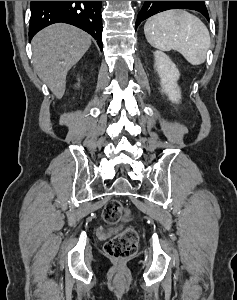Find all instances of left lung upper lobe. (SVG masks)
Listing matches in <instances>:
<instances>
[{
	"instance_id": "obj_1",
	"label": "left lung upper lobe",
	"mask_w": 237,
	"mask_h": 300,
	"mask_svg": "<svg viewBox=\"0 0 237 300\" xmlns=\"http://www.w3.org/2000/svg\"><path fill=\"white\" fill-rule=\"evenodd\" d=\"M170 9H190L202 13L209 20L204 1H145L136 20L137 26L150 16Z\"/></svg>"
}]
</instances>
